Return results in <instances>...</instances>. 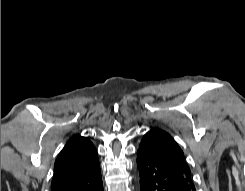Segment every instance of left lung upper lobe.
I'll use <instances>...</instances> for the list:
<instances>
[{
  "label": "left lung upper lobe",
  "instance_id": "1",
  "mask_svg": "<svg viewBox=\"0 0 245 191\" xmlns=\"http://www.w3.org/2000/svg\"><path fill=\"white\" fill-rule=\"evenodd\" d=\"M139 151L192 177L182 149L169 133L161 129L153 128L147 132L139 145Z\"/></svg>",
  "mask_w": 245,
  "mask_h": 191
}]
</instances>
